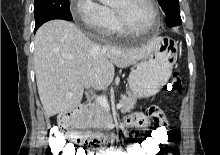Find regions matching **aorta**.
Here are the masks:
<instances>
[{
	"mask_svg": "<svg viewBox=\"0 0 220 155\" xmlns=\"http://www.w3.org/2000/svg\"><path fill=\"white\" fill-rule=\"evenodd\" d=\"M101 2H102L103 4H111V3L114 2V0H101Z\"/></svg>",
	"mask_w": 220,
	"mask_h": 155,
	"instance_id": "obj_1",
	"label": "aorta"
}]
</instances>
